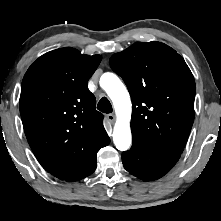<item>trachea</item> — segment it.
I'll return each mask as SVG.
<instances>
[{"label":"trachea","instance_id":"trachea-1","mask_svg":"<svg viewBox=\"0 0 221 221\" xmlns=\"http://www.w3.org/2000/svg\"><path fill=\"white\" fill-rule=\"evenodd\" d=\"M97 109L103 113H111L113 111L112 106L106 97L101 98L97 105Z\"/></svg>","mask_w":221,"mask_h":221}]
</instances>
